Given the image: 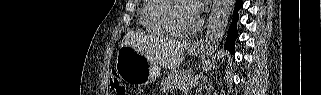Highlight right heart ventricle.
Here are the masks:
<instances>
[{"label":"right heart ventricle","instance_id":"1","mask_svg":"<svg viewBox=\"0 0 321 95\" xmlns=\"http://www.w3.org/2000/svg\"><path fill=\"white\" fill-rule=\"evenodd\" d=\"M164 0H143L140 8V21L143 27L155 35H169L168 29L158 18L159 8Z\"/></svg>","mask_w":321,"mask_h":95}]
</instances>
